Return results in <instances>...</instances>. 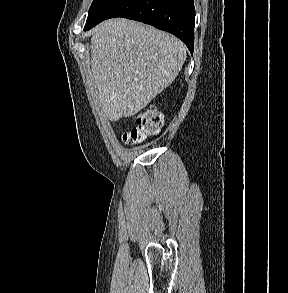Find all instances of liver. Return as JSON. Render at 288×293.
<instances>
[{
	"instance_id": "1",
	"label": "liver",
	"mask_w": 288,
	"mask_h": 293,
	"mask_svg": "<svg viewBox=\"0 0 288 293\" xmlns=\"http://www.w3.org/2000/svg\"><path fill=\"white\" fill-rule=\"evenodd\" d=\"M91 34L94 84L111 121L145 108L174 81L186 59L181 40L137 21L109 19Z\"/></svg>"
}]
</instances>
